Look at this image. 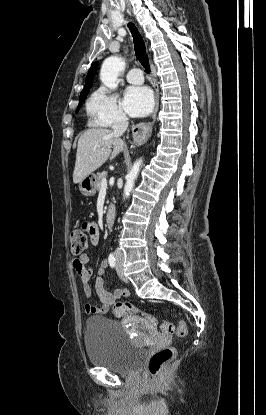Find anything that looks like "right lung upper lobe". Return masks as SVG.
Here are the masks:
<instances>
[{"label": "right lung upper lobe", "mask_w": 266, "mask_h": 415, "mask_svg": "<svg viewBox=\"0 0 266 415\" xmlns=\"http://www.w3.org/2000/svg\"><path fill=\"white\" fill-rule=\"evenodd\" d=\"M97 66H98V62L92 64L91 68L89 69V72L87 74V78H86V81H85V85H84V88L81 92L80 97L85 96V95L88 94V92L91 88L92 82H93L94 75L97 71Z\"/></svg>", "instance_id": "1"}]
</instances>
